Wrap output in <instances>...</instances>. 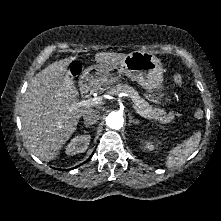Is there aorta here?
Here are the masks:
<instances>
[{"mask_svg": "<svg viewBox=\"0 0 221 221\" xmlns=\"http://www.w3.org/2000/svg\"><path fill=\"white\" fill-rule=\"evenodd\" d=\"M106 124L111 129H120L123 126L122 114L119 112H111L106 118Z\"/></svg>", "mask_w": 221, "mask_h": 221, "instance_id": "1", "label": "aorta"}]
</instances>
